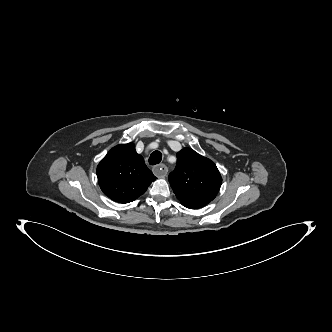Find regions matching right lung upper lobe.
Returning <instances> with one entry per match:
<instances>
[{
  "label": "right lung upper lobe",
  "mask_w": 332,
  "mask_h": 332,
  "mask_svg": "<svg viewBox=\"0 0 332 332\" xmlns=\"http://www.w3.org/2000/svg\"><path fill=\"white\" fill-rule=\"evenodd\" d=\"M97 177L103 193L118 203L137 199L156 179L133 143L113 147L99 163Z\"/></svg>",
  "instance_id": "cb5924a9"
}]
</instances>
